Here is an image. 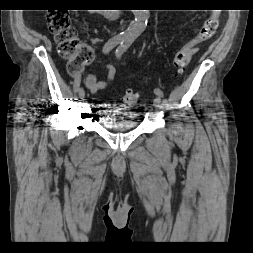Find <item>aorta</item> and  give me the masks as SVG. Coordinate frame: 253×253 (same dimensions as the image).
Segmentation results:
<instances>
[{
  "label": "aorta",
  "instance_id": "762f6f07",
  "mask_svg": "<svg viewBox=\"0 0 253 253\" xmlns=\"http://www.w3.org/2000/svg\"><path fill=\"white\" fill-rule=\"evenodd\" d=\"M135 19L123 33L126 39L134 40L145 30L149 18V10H133Z\"/></svg>",
  "mask_w": 253,
  "mask_h": 253
}]
</instances>
